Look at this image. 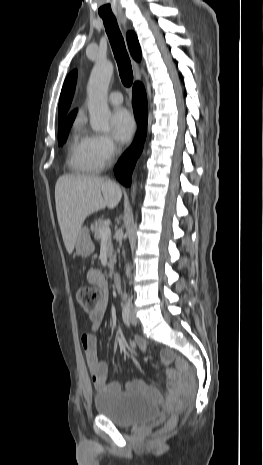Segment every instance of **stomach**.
Instances as JSON below:
<instances>
[{
	"instance_id": "stomach-1",
	"label": "stomach",
	"mask_w": 263,
	"mask_h": 465,
	"mask_svg": "<svg viewBox=\"0 0 263 465\" xmlns=\"http://www.w3.org/2000/svg\"><path fill=\"white\" fill-rule=\"evenodd\" d=\"M75 248L77 254L84 258L90 256L94 252L95 247L86 226L80 229L76 239Z\"/></svg>"
}]
</instances>
